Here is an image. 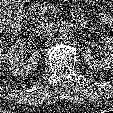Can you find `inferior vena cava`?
Here are the masks:
<instances>
[{"mask_svg": "<svg viewBox=\"0 0 113 113\" xmlns=\"http://www.w3.org/2000/svg\"><path fill=\"white\" fill-rule=\"evenodd\" d=\"M52 27H53L52 23H42L36 27L35 31L38 34H45L50 32L52 30Z\"/></svg>", "mask_w": 113, "mask_h": 113, "instance_id": "1", "label": "inferior vena cava"}]
</instances>
